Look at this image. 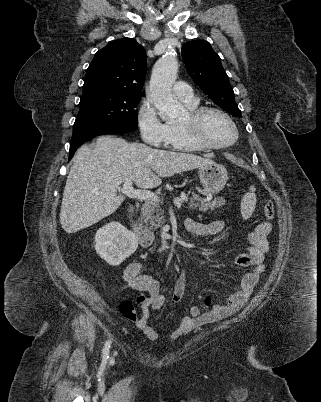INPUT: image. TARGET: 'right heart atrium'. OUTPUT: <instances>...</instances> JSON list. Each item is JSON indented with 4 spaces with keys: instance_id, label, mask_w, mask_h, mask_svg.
Masks as SVG:
<instances>
[{
    "instance_id": "obj_1",
    "label": "right heart atrium",
    "mask_w": 321,
    "mask_h": 402,
    "mask_svg": "<svg viewBox=\"0 0 321 402\" xmlns=\"http://www.w3.org/2000/svg\"><path fill=\"white\" fill-rule=\"evenodd\" d=\"M137 124L141 138L145 143L155 147L167 144V124L160 119L155 107L150 102L145 101L140 106Z\"/></svg>"
}]
</instances>
